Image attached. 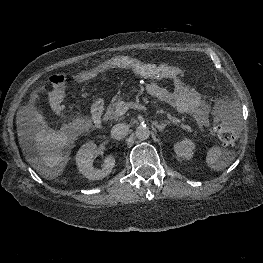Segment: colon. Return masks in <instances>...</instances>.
<instances>
[{"instance_id":"5ec220e1","label":"colon","mask_w":263,"mask_h":263,"mask_svg":"<svg viewBox=\"0 0 263 263\" xmlns=\"http://www.w3.org/2000/svg\"><path fill=\"white\" fill-rule=\"evenodd\" d=\"M115 68L128 69L142 77L155 79L180 77L184 75L183 69L178 66L166 63H144L128 56H114L90 69L73 75L72 80L77 83L85 82L107 70ZM66 82L67 78L62 73L55 74L50 78L52 99L56 105H59L61 97L64 95ZM214 129L223 144L233 145L236 142L237 132L226 116L219 113L215 115Z\"/></svg>"}]
</instances>
